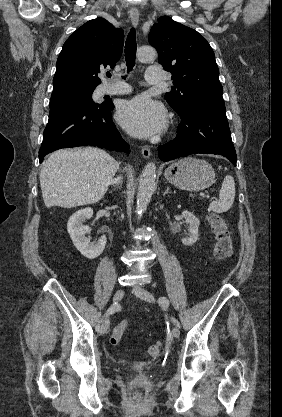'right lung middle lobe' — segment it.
<instances>
[{"mask_svg":"<svg viewBox=\"0 0 282 417\" xmlns=\"http://www.w3.org/2000/svg\"><path fill=\"white\" fill-rule=\"evenodd\" d=\"M93 91L94 89H87L52 94L50 99V108L75 101L95 103L92 100Z\"/></svg>","mask_w":282,"mask_h":417,"instance_id":"1","label":"right lung middle lobe"}]
</instances>
